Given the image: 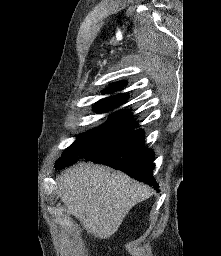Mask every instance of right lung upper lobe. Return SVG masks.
Masks as SVG:
<instances>
[{"label":"right lung upper lobe","instance_id":"cb5924a9","mask_svg":"<svg viewBox=\"0 0 221 256\" xmlns=\"http://www.w3.org/2000/svg\"><path fill=\"white\" fill-rule=\"evenodd\" d=\"M124 85L123 82L120 83H115L109 88H107L104 93H113L116 91L121 90L122 86ZM128 98L126 97L125 94H118V95H113L108 98L102 99L99 102L96 103L94 109L99 110V109H114L115 107L120 106L121 104L125 103ZM121 112H125L130 115L129 111L127 110H120Z\"/></svg>","mask_w":221,"mask_h":256}]
</instances>
